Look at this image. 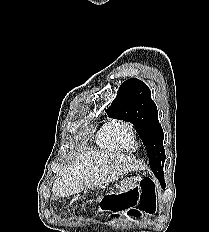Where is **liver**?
<instances>
[{
    "mask_svg": "<svg viewBox=\"0 0 209 232\" xmlns=\"http://www.w3.org/2000/svg\"><path fill=\"white\" fill-rule=\"evenodd\" d=\"M144 169L134 157L88 151L78 155L57 176L52 192L55 198L80 193L84 187L93 188L118 180L128 172Z\"/></svg>",
    "mask_w": 209,
    "mask_h": 232,
    "instance_id": "6515ba94",
    "label": "liver"
}]
</instances>
